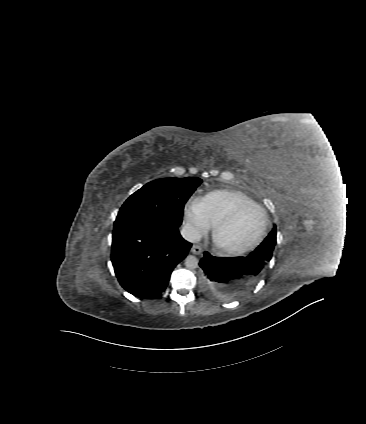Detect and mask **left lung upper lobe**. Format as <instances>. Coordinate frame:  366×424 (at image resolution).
I'll list each match as a JSON object with an SVG mask.
<instances>
[{"instance_id":"obj_1","label":"left lung upper lobe","mask_w":366,"mask_h":424,"mask_svg":"<svg viewBox=\"0 0 366 424\" xmlns=\"http://www.w3.org/2000/svg\"><path fill=\"white\" fill-rule=\"evenodd\" d=\"M276 244V226L273 227L272 231L265 238V240L252 252V255L261 256L267 262L270 261L273 250ZM261 275L257 278L248 280L250 283H256L260 279Z\"/></svg>"}]
</instances>
